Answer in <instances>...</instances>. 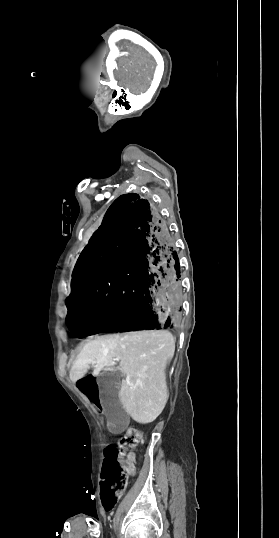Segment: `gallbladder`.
<instances>
[{"label": "gallbladder", "mask_w": 279, "mask_h": 538, "mask_svg": "<svg viewBox=\"0 0 279 538\" xmlns=\"http://www.w3.org/2000/svg\"><path fill=\"white\" fill-rule=\"evenodd\" d=\"M97 384L103 394L102 403L106 408L105 416L113 424V431L119 433L125 428L127 421L130 419V414L126 412L123 404H118L120 401L121 374H118V372H102L97 378Z\"/></svg>", "instance_id": "1"}]
</instances>
